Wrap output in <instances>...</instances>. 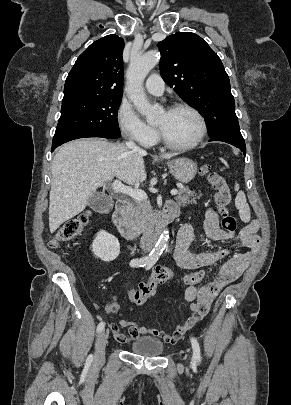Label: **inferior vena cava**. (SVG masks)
Masks as SVG:
<instances>
[{"instance_id":"inferior-vena-cava-1","label":"inferior vena cava","mask_w":291,"mask_h":405,"mask_svg":"<svg viewBox=\"0 0 291 405\" xmlns=\"http://www.w3.org/2000/svg\"><path fill=\"white\" fill-rule=\"evenodd\" d=\"M126 146L127 148L135 151V152H139V153H144L145 151L142 150L139 146H137L133 141H128L126 142Z\"/></svg>"}]
</instances>
